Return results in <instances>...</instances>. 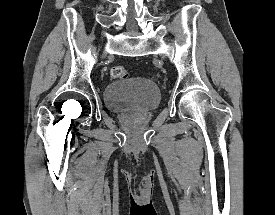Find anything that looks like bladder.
<instances>
[{"label":"bladder","mask_w":275,"mask_h":215,"mask_svg":"<svg viewBox=\"0 0 275 215\" xmlns=\"http://www.w3.org/2000/svg\"><path fill=\"white\" fill-rule=\"evenodd\" d=\"M103 96L108 109L116 113L146 112L160 103L158 87L146 78L111 81L105 86Z\"/></svg>","instance_id":"1"}]
</instances>
